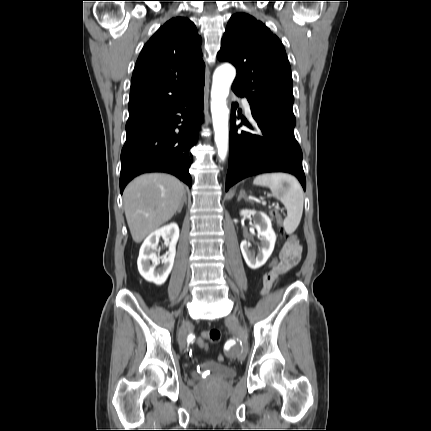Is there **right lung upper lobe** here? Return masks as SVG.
I'll list each match as a JSON object with an SVG mask.
<instances>
[{
	"label": "right lung upper lobe",
	"instance_id": "cb5924a9",
	"mask_svg": "<svg viewBox=\"0 0 431 431\" xmlns=\"http://www.w3.org/2000/svg\"><path fill=\"white\" fill-rule=\"evenodd\" d=\"M201 42L187 18H173L157 30L134 68L129 117L172 105L204 83Z\"/></svg>",
	"mask_w": 431,
	"mask_h": 431
}]
</instances>
